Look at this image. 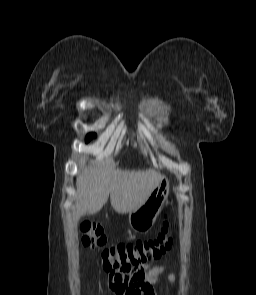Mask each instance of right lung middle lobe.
Segmentation results:
<instances>
[{
  "mask_svg": "<svg viewBox=\"0 0 256 295\" xmlns=\"http://www.w3.org/2000/svg\"><path fill=\"white\" fill-rule=\"evenodd\" d=\"M96 134L95 133H90L86 136V142H88L91 138L95 137Z\"/></svg>",
  "mask_w": 256,
  "mask_h": 295,
  "instance_id": "right-lung-middle-lobe-1",
  "label": "right lung middle lobe"
}]
</instances>
